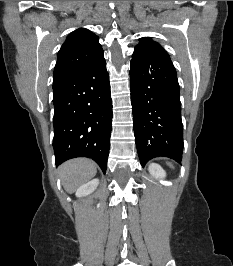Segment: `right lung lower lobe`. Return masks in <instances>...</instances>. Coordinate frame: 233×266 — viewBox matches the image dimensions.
Listing matches in <instances>:
<instances>
[{"instance_id":"1","label":"right lung lower lobe","mask_w":233,"mask_h":266,"mask_svg":"<svg viewBox=\"0 0 233 266\" xmlns=\"http://www.w3.org/2000/svg\"><path fill=\"white\" fill-rule=\"evenodd\" d=\"M53 91L55 164L89 157L105 174L113 113L104 57Z\"/></svg>"}]
</instances>
